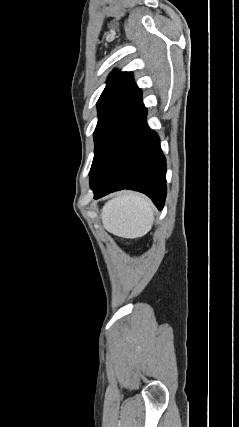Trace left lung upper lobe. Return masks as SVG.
<instances>
[{
	"mask_svg": "<svg viewBox=\"0 0 239 427\" xmlns=\"http://www.w3.org/2000/svg\"><path fill=\"white\" fill-rule=\"evenodd\" d=\"M98 123L94 131V159L91 170L113 136L141 109L142 91L131 72H114L98 103Z\"/></svg>",
	"mask_w": 239,
	"mask_h": 427,
	"instance_id": "5c2ea615",
	"label": "left lung upper lobe"
}]
</instances>
